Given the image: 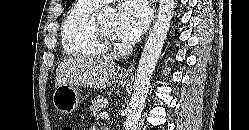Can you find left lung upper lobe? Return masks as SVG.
I'll use <instances>...</instances> for the list:
<instances>
[{
  "mask_svg": "<svg viewBox=\"0 0 249 130\" xmlns=\"http://www.w3.org/2000/svg\"><path fill=\"white\" fill-rule=\"evenodd\" d=\"M73 3V0H67L66 7H69Z\"/></svg>",
  "mask_w": 249,
  "mask_h": 130,
  "instance_id": "left-lung-upper-lobe-1",
  "label": "left lung upper lobe"
}]
</instances>
